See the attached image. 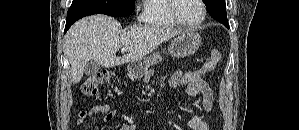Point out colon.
<instances>
[{
	"instance_id": "obj_1",
	"label": "colon",
	"mask_w": 299,
	"mask_h": 130,
	"mask_svg": "<svg viewBox=\"0 0 299 130\" xmlns=\"http://www.w3.org/2000/svg\"><path fill=\"white\" fill-rule=\"evenodd\" d=\"M221 60V53L218 50H213L210 56L206 59L203 65L195 70L184 72L179 79L175 90H182L189 85L196 83L203 79V76L214 70ZM114 73L108 70L100 71L94 75L89 76L82 84L81 91L84 95L89 97H96L100 94L101 86L111 81Z\"/></svg>"
}]
</instances>
